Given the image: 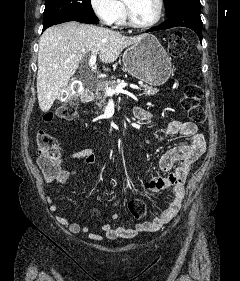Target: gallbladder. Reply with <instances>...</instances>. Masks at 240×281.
Masks as SVG:
<instances>
[{
	"instance_id": "obj_1",
	"label": "gallbladder",
	"mask_w": 240,
	"mask_h": 281,
	"mask_svg": "<svg viewBox=\"0 0 240 281\" xmlns=\"http://www.w3.org/2000/svg\"><path fill=\"white\" fill-rule=\"evenodd\" d=\"M68 92H69V94H71V91L70 90H68ZM65 95H61V97H64Z\"/></svg>"
}]
</instances>
